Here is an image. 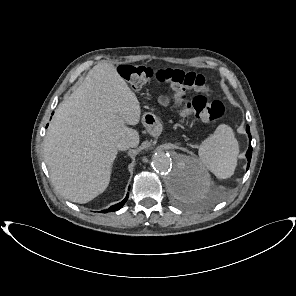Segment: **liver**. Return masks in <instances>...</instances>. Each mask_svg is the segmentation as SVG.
I'll return each instance as SVG.
<instances>
[{"instance_id": "1", "label": "liver", "mask_w": 296, "mask_h": 296, "mask_svg": "<svg viewBox=\"0 0 296 296\" xmlns=\"http://www.w3.org/2000/svg\"><path fill=\"white\" fill-rule=\"evenodd\" d=\"M141 107L115 66L99 62L56 109L44 141V159L55 189L75 203H87L108 187L116 143L139 134Z\"/></svg>"}]
</instances>
